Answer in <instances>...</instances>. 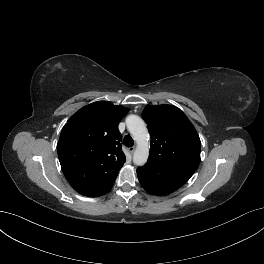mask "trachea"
I'll list each match as a JSON object with an SVG mask.
<instances>
[{"label":"trachea","instance_id":"1","mask_svg":"<svg viewBox=\"0 0 264 264\" xmlns=\"http://www.w3.org/2000/svg\"><path fill=\"white\" fill-rule=\"evenodd\" d=\"M124 145H125L126 147H132V146L134 145V141H133V139H132L131 136L126 135V136L124 137Z\"/></svg>","mask_w":264,"mask_h":264}]
</instances>
